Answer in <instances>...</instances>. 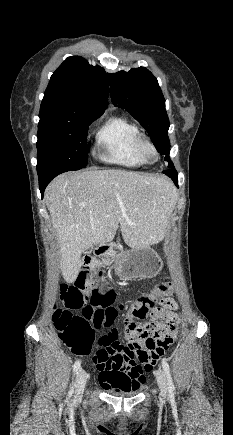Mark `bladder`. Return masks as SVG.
Wrapping results in <instances>:
<instances>
[{
	"mask_svg": "<svg viewBox=\"0 0 233 435\" xmlns=\"http://www.w3.org/2000/svg\"><path fill=\"white\" fill-rule=\"evenodd\" d=\"M143 386L144 384L140 382V383L133 384L132 389L129 391L114 392L108 390L106 391V393L117 397H134L143 389Z\"/></svg>",
	"mask_w": 233,
	"mask_h": 435,
	"instance_id": "31cf9c89",
	"label": "bladder"
}]
</instances>
